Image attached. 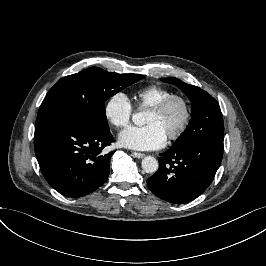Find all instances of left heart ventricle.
<instances>
[{
  "instance_id": "1",
  "label": "left heart ventricle",
  "mask_w": 266,
  "mask_h": 266,
  "mask_svg": "<svg viewBox=\"0 0 266 266\" xmlns=\"http://www.w3.org/2000/svg\"><path fill=\"white\" fill-rule=\"evenodd\" d=\"M183 118L184 107L180 102H175L165 113L149 110L145 122L159 125L165 134L168 135L179 127Z\"/></svg>"
}]
</instances>
